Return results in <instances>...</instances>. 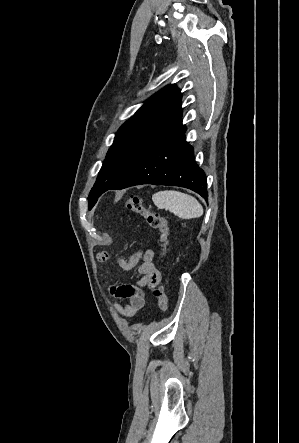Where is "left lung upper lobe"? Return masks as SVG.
Returning <instances> with one entry per match:
<instances>
[{"mask_svg": "<svg viewBox=\"0 0 299 443\" xmlns=\"http://www.w3.org/2000/svg\"><path fill=\"white\" fill-rule=\"evenodd\" d=\"M181 97L175 85H168L120 127L88 197L89 208L142 156L182 124Z\"/></svg>", "mask_w": 299, "mask_h": 443, "instance_id": "1", "label": "left lung upper lobe"}]
</instances>
